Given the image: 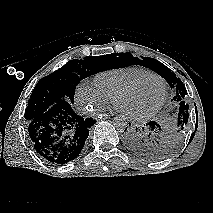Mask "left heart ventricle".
Returning a JSON list of instances; mask_svg holds the SVG:
<instances>
[{
    "label": "left heart ventricle",
    "instance_id": "left-heart-ventricle-1",
    "mask_svg": "<svg viewBox=\"0 0 213 213\" xmlns=\"http://www.w3.org/2000/svg\"><path fill=\"white\" fill-rule=\"evenodd\" d=\"M163 85L154 77H148L118 100V106L129 114H142L154 108L163 97Z\"/></svg>",
    "mask_w": 213,
    "mask_h": 213
}]
</instances>
